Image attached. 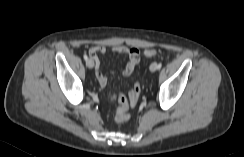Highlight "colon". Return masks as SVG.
Returning <instances> with one entry per match:
<instances>
[{"label":"colon","mask_w":244,"mask_h":157,"mask_svg":"<svg viewBox=\"0 0 244 157\" xmlns=\"http://www.w3.org/2000/svg\"><path fill=\"white\" fill-rule=\"evenodd\" d=\"M156 54L157 51L155 49H147L144 52V55L148 58L154 57ZM140 92V84L135 83L127 97L124 95L112 96V100L117 104L116 122L123 123L129 119V108L136 105Z\"/></svg>","instance_id":"1"}]
</instances>
